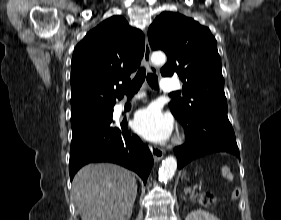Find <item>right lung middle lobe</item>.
<instances>
[{
	"instance_id": "right-lung-middle-lobe-1",
	"label": "right lung middle lobe",
	"mask_w": 281,
	"mask_h": 220,
	"mask_svg": "<svg viewBox=\"0 0 281 220\" xmlns=\"http://www.w3.org/2000/svg\"><path fill=\"white\" fill-rule=\"evenodd\" d=\"M107 112H108V110H107V111H104V112H102V113L93 114V115H90V116H85V117H81V118L71 119V125L74 126V125H76V124H78V123H81V122H83V121L96 118V117H98L99 115H103V114H105V113H107Z\"/></svg>"
}]
</instances>
